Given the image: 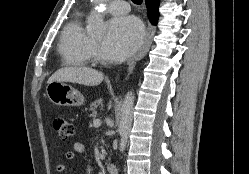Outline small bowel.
I'll use <instances>...</instances> for the list:
<instances>
[{
  "instance_id": "1",
  "label": "small bowel",
  "mask_w": 249,
  "mask_h": 174,
  "mask_svg": "<svg viewBox=\"0 0 249 174\" xmlns=\"http://www.w3.org/2000/svg\"><path fill=\"white\" fill-rule=\"evenodd\" d=\"M77 154L81 155L83 160H84L85 173L86 174H92V167H91V164H90V162L88 160L85 146L81 142L75 143L74 146H73V149L66 152V158L68 160H73L76 157ZM66 169H67V167H66L65 164L57 165V172H59L61 174L64 173L66 171Z\"/></svg>"
}]
</instances>
